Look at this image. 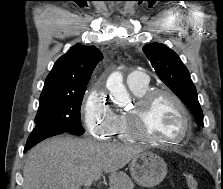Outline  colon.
<instances>
[{
  "label": "colon",
  "mask_w": 223,
  "mask_h": 189,
  "mask_svg": "<svg viewBox=\"0 0 223 189\" xmlns=\"http://www.w3.org/2000/svg\"><path fill=\"white\" fill-rule=\"evenodd\" d=\"M187 182L188 189H199V183L196 176L193 173L187 172L184 174Z\"/></svg>",
  "instance_id": "5ec220e1"
}]
</instances>
